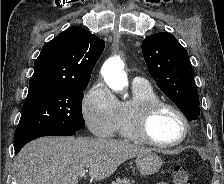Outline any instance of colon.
<instances>
[{"label":"colon","mask_w":224,"mask_h":184,"mask_svg":"<svg viewBox=\"0 0 224 184\" xmlns=\"http://www.w3.org/2000/svg\"><path fill=\"white\" fill-rule=\"evenodd\" d=\"M172 174L175 184H193L189 171L183 165H175Z\"/></svg>","instance_id":"5ec220e1"}]
</instances>
